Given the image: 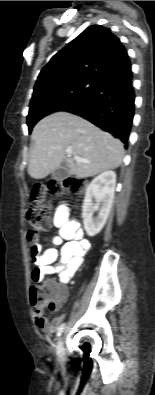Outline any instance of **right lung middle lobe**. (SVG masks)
<instances>
[{"label":"right lung middle lobe","instance_id":"dd1d6c3e","mask_svg":"<svg viewBox=\"0 0 155 395\" xmlns=\"http://www.w3.org/2000/svg\"><path fill=\"white\" fill-rule=\"evenodd\" d=\"M100 81L80 79L49 86L33 94L27 117L29 132L46 115L65 109L94 92Z\"/></svg>","mask_w":155,"mask_h":395}]
</instances>
